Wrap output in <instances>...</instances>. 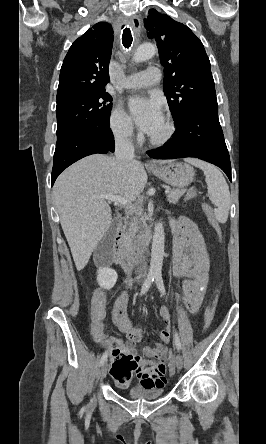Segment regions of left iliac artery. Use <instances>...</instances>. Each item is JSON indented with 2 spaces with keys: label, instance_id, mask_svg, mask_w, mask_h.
Masks as SVG:
<instances>
[{
  "label": "left iliac artery",
  "instance_id": "left-iliac-artery-1",
  "mask_svg": "<svg viewBox=\"0 0 266 444\" xmlns=\"http://www.w3.org/2000/svg\"><path fill=\"white\" fill-rule=\"evenodd\" d=\"M155 282H156V285H157L160 293L162 295H166V290H165V287H164L162 275L160 273L155 275ZM174 342H175L177 350L180 351L181 350V342H180L179 336H178V334L176 332L174 334Z\"/></svg>",
  "mask_w": 266,
  "mask_h": 444
}]
</instances>
